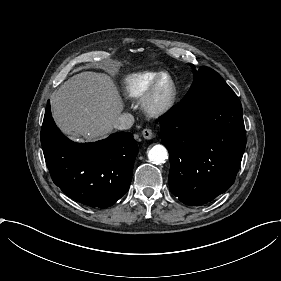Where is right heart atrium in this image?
<instances>
[{"label":"right heart atrium","mask_w":281,"mask_h":281,"mask_svg":"<svg viewBox=\"0 0 281 281\" xmlns=\"http://www.w3.org/2000/svg\"><path fill=\"white\" fill-rule=\"evenodd\" d=\"M103 95L109 100L111 104V115L115 116L122 109V104L120 101L113 95V93L109 90H103Z\"/></svg>","instance_id":"d8ad5b80"}]
</instances>
